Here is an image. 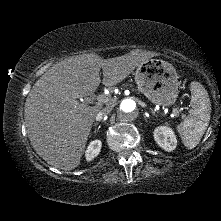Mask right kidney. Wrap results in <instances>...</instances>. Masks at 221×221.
Masks as SVG:
<instances>
[{
	"mask_svg": "<svg viewBox=\"0 0 221 221\" xmlns=\"http://www.w3.org/2000/svg\"><path fill=\"white\" fill-rule=\"evenodd\" d=\"M101 147H102L101 140L96 139V140L90 142V144L88 145L87 150L85 152L86 160L91 161L92 159L97 157L98 154L100 153Z\"/></svg>",
	"mask_w": 221,
	"mask_h": 221,
	"instance_id": "right-kidney-1",
	"label": "right kidney"
}]
</instances>
